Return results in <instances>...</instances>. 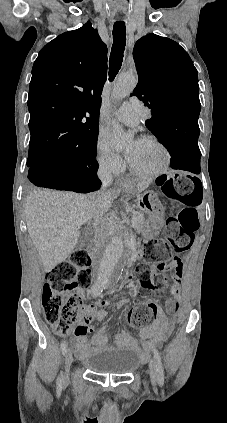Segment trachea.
Listing matches in <instances>:
<instances>
[{
  "label": "trachea",
  "mask_w": 227,
  "mask_h": 423,
  "mask_svg": "<svg viewBox=\"0 0 227 423\" xmlns=\"http://www.w3.org/2000/svg\"><path fill=\"white\" fill-rule=\"evenodd\" d=\"M126 46V26L123 21H116L113 25V44L109 59V81H113L119 72Z\"/></svg>",
  "instance_id": "trachea-1"
}]
</instances>
